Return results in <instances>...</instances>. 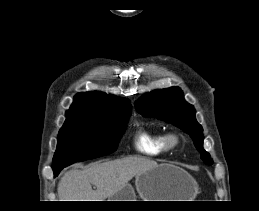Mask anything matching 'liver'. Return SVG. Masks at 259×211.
I'll use <instances>...</instances> for the list:
<instances>
[{
	"mask_svg": "<svg viewBox=\"0 0 259 211\" xmlns=\"http://www.w3.org/2000/svg\"><path fill=\"white\" fill-rule=\"evenodd\" d=\"M157 162L143 157L96 162L85 170L67 171L58 184L60 201H104L136 175L157 167ZM92 185L96 190L92 189Z\"/></svg>",
	"mask_w": 259,
	"mask_h": 211,
	"instance_id": "1",
	"label": "liver"
}]
</instances>
